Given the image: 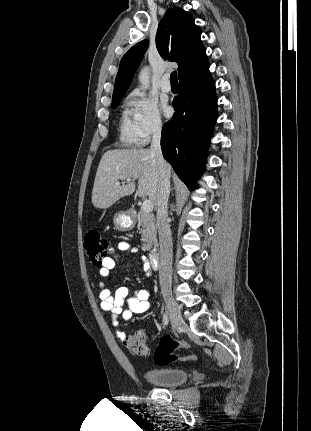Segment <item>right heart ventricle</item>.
Instances as JSON below:
<instances>
[{"label":"right heart ventricle","mask_w":311,"mask_h":431,"mask_svg":"<svg viewBox=\"0 0 311 431\" xmlns=\"http://www.w3.org/2000/svg\"><path fill=\"white\" fill-rule=\"evenodd\" d=\"M140 132L132 119L131 113L122 111L118 126V139L123 146H135L139 143Z\"/></svg>","instance_id":"1"}]
</instances>
